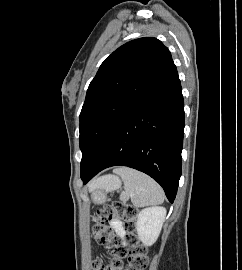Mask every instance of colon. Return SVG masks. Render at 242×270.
<instances>
[{"mask_svg":"<svg viewBox=\"0 0 242 270\" xmlns=\"http://www.w3.org/2000/svg\"><path fill=\"white\" fill-rule=\"evenodd\" d=\"M137 210L123 202H113L102 206L94 215L93 239L110 250L111 260L102 263L93 262V270H145L148 265L147 248L139 242L135 232ZM118 219L124 222L126 229L127 247L120 243L119 238L113 233L109 222ZM128 258L124 265L123 259Z\"/></svg>","mask_w":242,"mask_h":270,"instance_id":"5ec220e1","label":"colon"}]
</instances>
